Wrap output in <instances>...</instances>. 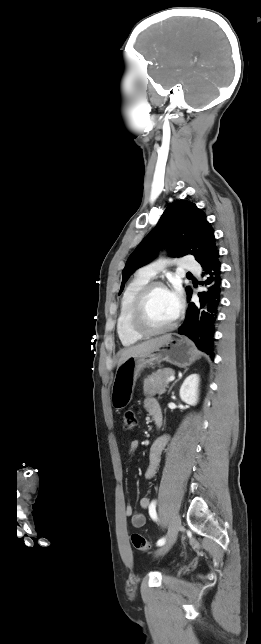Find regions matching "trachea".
<instances>
[{"label":"trachea","instance_id":"trachea-1","mask_svg":"<svg viewBox=\"0 0 261 644\" xmlns=\"http://www.w3.org/2000/svg\"><path fill=\"white\" fill-rule=\"evenodd\" d=\"M187 274H188V275H191V273H189V272H188Z\"/></svg>","mask_w":261,"mask_h":644}]
</instances>
